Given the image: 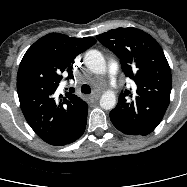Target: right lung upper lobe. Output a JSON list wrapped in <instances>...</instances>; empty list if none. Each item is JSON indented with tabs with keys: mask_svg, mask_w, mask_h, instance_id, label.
<instances>
[{
	"mask_svg": "<svg viewBox=\"0 0 187 187\" xmlns=\"http://www.w3.org/2000/svg\"><path fill=\"white\" fill-rule=\"evenodd\" d=\"M95 43L92 37L50 33L37 40L20 63L17 92L22 112L35 133L51 145L68 139L87 116L88 105L74 89L60 94L58 86L62 73L73 78L72 61Z\"/></svg>",
	"mask_w": 187,
	"mask_h": 187,
	"instance_id": "1",
	"label": "right lung upper lobe"
}]
</instances>
